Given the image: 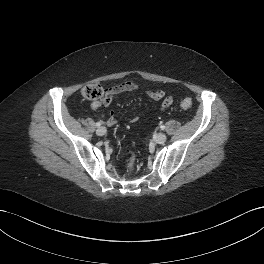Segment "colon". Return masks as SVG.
<instances>
[{
	"label": "colon",
	"mask_w": 264,
	"mask_h": 264,
	"mask_svg": "<svg viewBox=\"0 0 264 264\" xmlns=\"http://www.w3.org/2000/svg\"><path fill=\"white\" fill-rule=\"evenodd\" d=\"M104 90L99 85H88L84 87L81 91L82 97L86 100H99L104 96ZM192 106L191 98H184L181 100V107L184 109H188ZM135 156L131 155V161L129 164V168L132 169L134 167Z\"/></svg>",
	"instance_id": "5ec220e1"
}]
</instances>
